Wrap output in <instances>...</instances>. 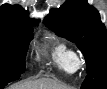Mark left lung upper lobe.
I'll list each match as a JSON object with an SVG mask.
<instances>
[{
	"label": "left lung upper lobe",
	"mask_w": 107,
	"mask_h": 89,
	"mask_svg": "<svg viewBox=\"0 0 107 89\" xmlns=\"http://www.w3.org/2000/svg\"><path fill=\"white\" fill-rule=\"evenodd\" d=\"M44 23L57 35L76 43L87 63L82 89L107 84V31L98 11L86 0H67L53 9Z\"/></svg>",
	"instance_id": "5c2ea615"
}]
</instances>
